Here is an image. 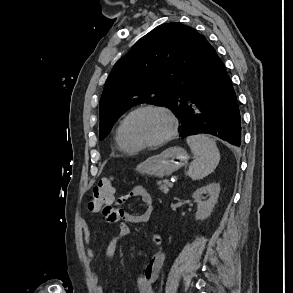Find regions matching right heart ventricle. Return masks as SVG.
<instances>
[{"instance_id":"e07e8e85","label":"right heart ventricle","mask_w":293,"mask_h":293,"mask_svg":"<svg viewBox=\"0 0 293 293\" xmlns=\"http://www.w3.org/2000/svg\"><path fill=\"white\" fill-rule=\"evenodd\" d=\"M122 121L119 122V124L117 125V127L115 129V133H114L115 144L120 151L134 152L136 150L128 147L123 141L122 132H121Z\"/></svg>"}]
</instances>
